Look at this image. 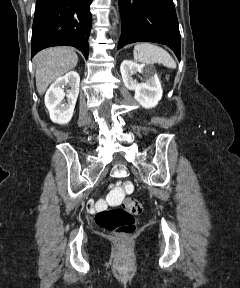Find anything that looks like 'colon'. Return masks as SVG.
<instances>
[{
	"mask_svg": "<svg viewBox=\"0 0 240 288\" xmlns=\"http://www.w3.org/2000/svg\"><path fill=\"white\" fill-rule=\"evenodd\" d=\"M126 191L132 190V184L123 183ZM142 212V204L133 198H128L123 206L114 209H105L97 212L95 216L96 224L111 233L120 236L131 234L135 230V216Z\"/></svg>",
	"mask_w": 240,
	"mask_h": 288,
	"instance_id": "1",
	"label": "colon"
}]
</instances>
